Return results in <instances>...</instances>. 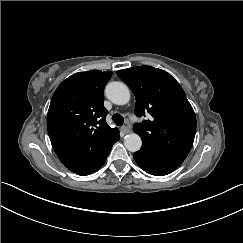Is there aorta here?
Instances as JSON below:
<instances>
[{
    "label": "aorta",
    "instance_id": "obj_1",
    "mask_svg": "<svg viewBox=\"0 0 243 243\" xmlns=\"http://www.w3.org/2000/svg\"><path fill=\"white\" fill-rule=\"evenodd\" d=\"M107 98L115 105L124 106L130 102L131 94L128 86L122 82H111L106 86ZM124 145L127 150L136 152L141 148L142 140L136 133L127 134L124 137Z\"/></svg>",
    "mask_w": 243,
    "mask_h": 243
}]
</instances>
